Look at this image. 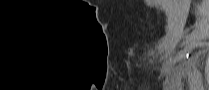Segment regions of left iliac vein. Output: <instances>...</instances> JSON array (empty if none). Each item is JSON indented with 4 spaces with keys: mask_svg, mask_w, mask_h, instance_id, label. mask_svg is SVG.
<instances>
[{
    "mask_svg": "<svg viewBox=\"0 0 209 90\" xmlns=\"http://www.w3.org/2000/svg\"><path fill=\"white\" fill-rule=\"evenodd\" d=\"M194 83H195V79H194V78H190V85H191V86H195Z\"/></svg>",
    "mask_w": 209,
    "mask_h": 90,
    "instance_id": "1",
    "label": "left iliac vein"
}]
</instances>
